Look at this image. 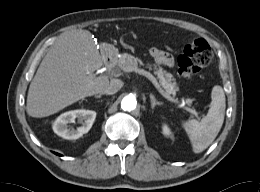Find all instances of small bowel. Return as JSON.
<instances>
[{
	"mask_svg": "<svg viewBox=\"0 0 260 192\" xmlns=\"http://www.w3.org/2000/svg\"><path fill=\"white\" fill-rule=\"evenodd\" d=\"M150 54L159 65L165 67H172L174 65V57L166 51L158 48H152L150 50Z\"/></svg>",
	"mask_w": 260,
	"mask_h": 192,
	"instance_id": "obj_1",
	"label": "small bowel"
}]
</instances>
